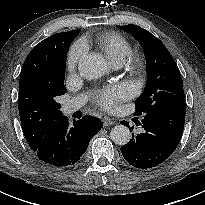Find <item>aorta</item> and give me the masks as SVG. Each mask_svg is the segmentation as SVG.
<instances>
[{
  "instance_id": "762f6f07",
  "label": "aorta",
  "mask_w": 205,
  "mask_h": 205,
  "mask_svg": "<svg viewBox=\"0 0 205 205\" xmlns=\"http://www.w3.org/2000/svg\"><path fill=\"white\" fill-rule=\"evenodd\" d=\"M78 70L82 77L87 80L100 78L107 70V63L103 56L96 53L84 55L78 63ZM110 137L115 144L124 145L131 139L128 127L116 125L110 132Z\"/></svg>"
}]
</instances>
